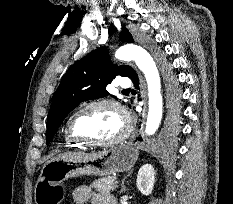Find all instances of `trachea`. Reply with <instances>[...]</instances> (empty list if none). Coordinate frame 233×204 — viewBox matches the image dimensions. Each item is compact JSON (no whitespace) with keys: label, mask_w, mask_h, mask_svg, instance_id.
<instances>
[{"label":"trachea","mask_w":233,"mask_h":204,"mask_svg":"<svg viewBox=\"0 0 233 204\" xmlns=\"http://www.w3.org/2000/svg\"><path fill=\"white\" fill-rule=\"evenodd\" d=\"M124 91H130V89H126V90H124Z\"/></svg>","instance_id":"trachea-1"}]
</instances>
